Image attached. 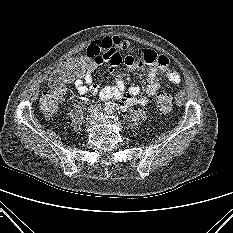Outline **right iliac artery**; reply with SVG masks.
<instances>
[{"mask_svg":"<svg viewBox=\"0 0 233 233\" xmlns=\"http://www.w3.org/2000/svg\"><path fill=\"white\" fill-rule=\"evenodd\" d=\"M110 108V104L105 105V111Z\"/></svg>","mask_w":233,"mask_h":233,"instance_id":"obj_1","label":"right iliac artery"}]
</instances>
